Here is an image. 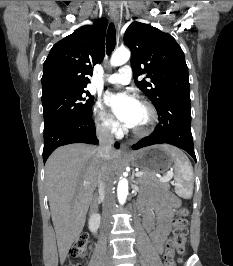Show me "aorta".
<instances>
[{"label": "aorta", "instance_id": "aorta-1", "mask_svg": "<svg viewBox=\"0 0 233 266\" xmlns=\"http://www.w3.org/2000/svg\"><path fill=\"white\" fill-rule=\"evenodd\" d=\"M130 51L126 48L117 49L110 59V65L113 67L121 66L125 64L130 59ZM128 195V180L126 178H121L118 182L117 187V197L120 204L126 202Z\"/></svg>", "mask_w": 233, "mask_h": 266}]
</instances>
